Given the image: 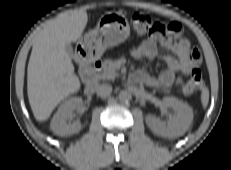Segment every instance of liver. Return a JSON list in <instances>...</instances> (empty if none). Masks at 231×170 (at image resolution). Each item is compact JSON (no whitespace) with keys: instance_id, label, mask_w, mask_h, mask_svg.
<instances>
[{"instance_id":"6515ba94","label":"liver","mask_w":231,"mask_h":170,"mask_svg":"<svg viewBox=\"0 0 231 170\" xmlns=\"http://www.w3.org/2000/svg\"><path fill=\"white\" fill-rule=\"evenodd\" d=\"M87 21L84 8L61 13L36 35L27 69V93L37 121L47 120L63 99L81 88L65 45L81 38Z\"/></svg>"}]
</instances>
